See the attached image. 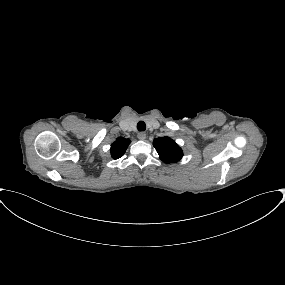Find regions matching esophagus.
<instances>
[{"instance_id":"34e87169","label":"esophagus","mask_w":285,"mask_h":285,"mask_svg":"<svg viewBox=\"0 0 285 285\" xmlns=\"http://www.w3.org/2000/svg\"><path fill=\"white\" fill-rule=\"evenodd\" d=\"M139 140H145L146 139V134L144 132H139L137 135Z\"/></svg>"}]
</instances>
